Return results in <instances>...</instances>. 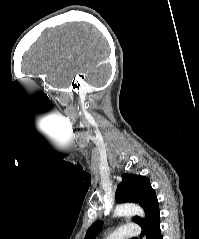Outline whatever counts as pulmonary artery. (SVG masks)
Here are the masks:
<instances>
[{
    "label": "pulmonary artery",
    "instance_id": "1",
    "mask_svg": "<svg viewBox=\"0 0 199 239\" xmlns=\"http://www.w3.org/2000/svg\"><path fill=\"white\" fill-rule=\"evenodd\" d=\"M140 234L137 224H126L109 234L106 239H130Z\"/></svg>",
    "mask_w": 199,
    "mask_h": 239
}]
</instances>
